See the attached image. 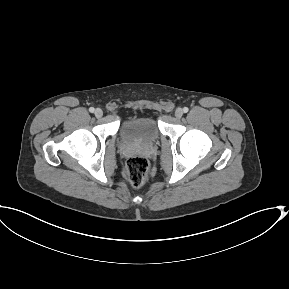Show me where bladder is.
<instances>
[{
    "mask_svg": "<svg viewBox=\"0 0 289 289\" xmlns=\"http://www.w3.org/2000/svg\"><path fill=\"white\" fill-rule=\"evenodd\" d=\"M124 140L152 143L160 136L157 120L152 116H135L125 119L121 125Z\"/></svg>",
    "mask_w": 289,
    "mask_h": 289,
    "instance_id": "1",
    "label": "bladder"
}]
</instances>
